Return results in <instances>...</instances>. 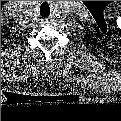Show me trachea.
<instances>
[{"instance_id": "3493384b", "label": "trachea", "mask_w": 121, "mask_h": 121, "mask_svg": "<svg viewBox=\"0 0 121 121\" xmlns=\"http://www.w3.org/2000/svg\"><path fill=\"white\" fill-rule=\"evenodd\" d=\"M39 13H40V16L43 18L49 17L51 14L50 5L47 2H43L40 6Z\"/></svg>"}]
</instances>
